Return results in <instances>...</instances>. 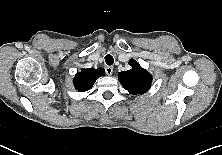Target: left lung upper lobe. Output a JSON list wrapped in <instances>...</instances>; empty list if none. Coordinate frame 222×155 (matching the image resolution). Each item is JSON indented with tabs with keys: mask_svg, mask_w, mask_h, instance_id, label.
I'll list each match as a JSON object with an SVG mask.
<instances>
[{
	"mask_svg": "<svg viewBox=\"0 0 222 155\" xmlns=\"http://www.w3.org/2000/svg\"><path fill=\"white\" fill-rule=\"evenodd\" d=\"M129 65L132 69L118 73L120 83L130 94L146 93L151 87L152 76L134 59L129 61Z\"/></svg>",
	"mask_w": 222,
	"mask_h": 155,
	"instance_id": "left-lung-upper-lobe-1",
	"label": "left lung upper lobe"
}]
</instances>
